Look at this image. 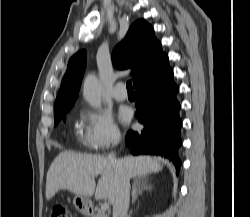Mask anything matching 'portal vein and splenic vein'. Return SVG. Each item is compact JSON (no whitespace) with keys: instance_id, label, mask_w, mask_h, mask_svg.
Masks as SVG:
<instances>
[{"instance_id":"18ae733b","label":"portal vein and splenic vein","mask_w":250,"mask_h":217,"mask_svg":"<svg viewBox=\"0 0 250 217\" xmlns=\"http://www.w3.org/2000/svg\"><path fill=\"white\" fill-rule=\"evenodd\" d=\"M109 209V203L107 202H104L102 205H101V210L102 211H106Z\"/></svg>"}]
</instances>
